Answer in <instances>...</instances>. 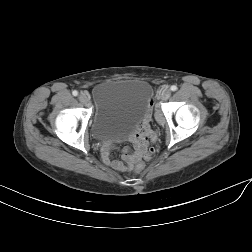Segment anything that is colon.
Listing matches in <instances>:
<instances>
[{
  "label": "colon",
  "mask_w": 252,
  "mask_h": 252,
  "mask_svg": "<svg viewBox=\"0 0 252 252\" xmlns=\"http://www.w3.org/2000/svg\"><path fill=\"white\" fill-rule=\"evenodd\" d=\"M152 156H153V150H151L147 155H146V159L147 160H150L151 158H152ZM144 162H142V161H139V162H137L136 163V165H135V171L137 172V173H139V172H141L143 169H144Z\"/></svg>",
  "instance_id": "obj_1"
}]
</instances>
